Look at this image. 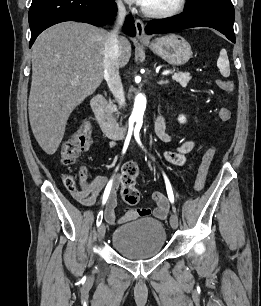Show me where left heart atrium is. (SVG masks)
<instances>
[{
	"instance_id": "1",
	"label": "left heart atrium",
	"mask_w": 261,
	"mask_h": 306,
	"mask_svg": "<svg viewBox=\"0 0 261 306\" xmlns=\"http://www.w3.org/2000/svg\"><path fill=\"white\" fill-rule=\"evenodd\" d=\"M129 3H135L144 6L148 0H126Z\"/></svg>"
}]
</instances>
